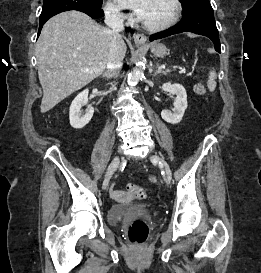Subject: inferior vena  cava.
<instances>
[{
  "mask_svg": "<svg viewBox=\"0 0 261 273\" xmlns=\"http://www.w3.org/2000/svg\"><path fill=\"white\" fill-rule=\"evenodd\" d=\"M105 24L111 29L113 38L110 44L109 55L107 59V71L114 77H117L121 68L123 56L119 52L120 32L124 31L123 17L113 9H106Z\"/></svg>",
  "mask_w": 261,
  "mask_h": 273,
  "instance_id": "602c4592",
  "label": "inferior vena cava"
}]
</instances>
